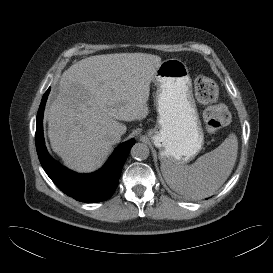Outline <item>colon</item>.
I'll return each mask as SVG.
<instances>
[{"mask_svg": "<svg viewBox=\"0 0 273 273\" xmlns=\"http://www.w3.org/2000/svg\"><path fill=\"white\" fill-rule=\"evenodd\" d=\"M194 88L198 100L208 105L203 113L205 130L208 133L219 132L228 124L230 114L225 107L214 105L219 97L218 86L207 77H198Z\"/></svg>", "mask_w": 273, "mask_h": 273, "instance_id": "1", "label": "colon"}]
</instances>
